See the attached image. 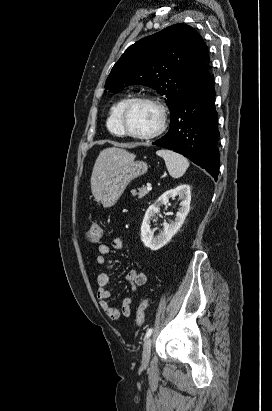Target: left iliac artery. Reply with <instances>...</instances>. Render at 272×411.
Masks as SVG:
<instances>
[{
    "label": "left iliac artery",
    "mask_w": 272,
    "mask_h": 411,
    "mask_svg": "<svg viewBox=\"0 0 272 411\" xmlns=\"http://www.w3.org/2000/svg\"><path fill=\"white\" fill-rule=\"evenodd\" d=\"M152 332H153V329H152V328H149V329L147 330V332H146L145 338L150 337V335L152 334Z\"/></svg>",
    "instance_id": "44dca946"
}]
</instances>
